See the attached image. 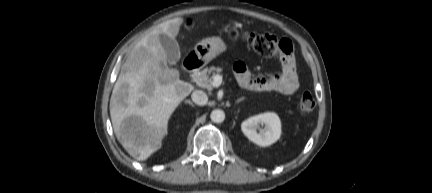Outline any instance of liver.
<instances>
[{"instance_id":"6515ba94","label":"liver","mask_w":432,"mask_h":193,"mask_svg":"<svg viewBox=\"0 0 432 193\" xmlns=\"http://www.w3.org/2000/svg\"><path fill=\"white\" fill-rule=\"evenodd\" d=\"M183 23L177 17L160 23L144 36L122 66L110 99L114 133L135 159L144 161L160 149L167 135L168 121L177 106L191 93L193 86L179 79V71L167 66V54L159 34L175 38ZM137 124L123 131L125 120Z\"/></svg>"}]
</instances>
